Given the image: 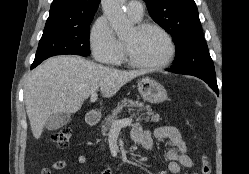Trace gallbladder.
Instances as JSON below:
<instances>
[{
	"label": "gallbladder",
	"instance_id": "obj_1",
	"mask_svg": "<svg viewBox=\"0 0 249 174\" xmlns=\"http://www.w3.org/2000/svg\"><path fill=\"white\" fill-rule=\"evenodd\" d=\"M71 121V116L68 113H54L45 122L47 130H57Z\"/></svg>",
	"mask_w": 249,
	"mask_h": 174
}]
</instances>
